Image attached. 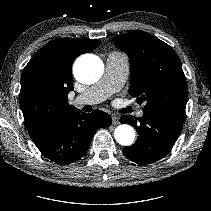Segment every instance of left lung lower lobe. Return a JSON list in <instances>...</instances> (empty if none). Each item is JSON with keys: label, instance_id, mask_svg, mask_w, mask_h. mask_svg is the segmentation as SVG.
<instances>
[{"label": "left lung lower lobe", "instance_id": "0a47b994", "mask_svg": "<svg viewBox=\"0 0 211 211\" xmlns=\"http://www.w3.org/2000/svg\"><path fill=\"white\" fill-rule=\"evenodd\" d=\"M141 118L123 115L121 123L134 126L139 135L135 144L123 149L124 155L138 164H150L167 155L183 127L185 107L170 105L143 110Z\"/></svg>", "mask_w": 211, "mask_h": 211}]
</instances>
